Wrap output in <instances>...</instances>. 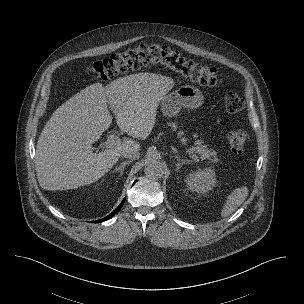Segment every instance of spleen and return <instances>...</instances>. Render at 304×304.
<instances>
[{"instance_id": "1", "label": "spleen", "mask_w": 304, "mask_h": 304, "mask_svg": "<svg viewBox=\"0 0 304 304\" xmlns=\"http://www.w3.org/2000/svg\"><path fill=\"white\" fill-rule=\"evenodd\" d=\"M248 188L242 186L236 188L226 199L225 204L221 210V217H227L232 214L247 198Z\"/></svg>"}]
</instances>
